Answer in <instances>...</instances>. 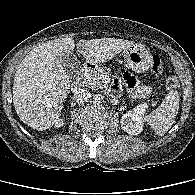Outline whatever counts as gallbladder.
<instances>
[{"label": "gallbladder", "instance_id": "gallbladder-1", "mask_svg": "<svg viewBox=\"0 0 195 195\" xmlns=\"http://www.w3.org/2000/svg\"><path fill=\"white\" fill-rule=\"evenodd\" d=\"M59 60L63 65V67L68 72H70L71 75H73L75 72H77L80 69V62L73 53L65 54L59 57Z\"/></svg>", "mask_w": 195, "mask_h": 195}]
</instances>
